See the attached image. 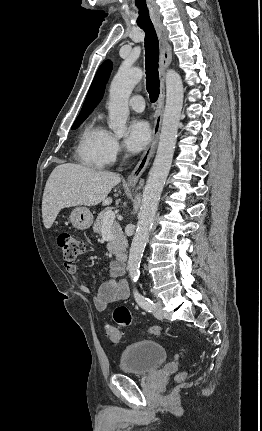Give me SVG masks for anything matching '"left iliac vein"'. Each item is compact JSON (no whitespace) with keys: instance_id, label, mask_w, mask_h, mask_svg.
Returning <instances> with one entry per match:
<instances>
[{"instance_id":"4c4485c4","label":"left iliac vein","mask_w":262,"mask_h":431,"mask_svg":"<svg viewBox=\"0 0 262 431\" xmlns=\"http://www.w3.org/2000/svg\"><path fill=\"white\" fill-rule=\"evenodd\" d=\"M153 314L158 319H163L164 312H163V303L161 300L156 301L155 306L153 308Z\"/></svg>"}]
</instances>
